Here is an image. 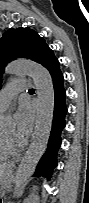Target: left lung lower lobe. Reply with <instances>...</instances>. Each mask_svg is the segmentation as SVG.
<instances>
[{"label": "left lung lower lobe", "instance_id": "obj_1", "mask_svg": "<svg viewBox=\"0 0 89 203\" xmlns=\"http://www.w3.org/2000/svg\"><path fill=\"white\" fill-rule=\"evenodd\" d=\"M39 63L47 68L51 74L55 104L48 148L39 161L34 176H42L50 179L52 177L53 169L57 166V152L61 146V132L65 127V115L67 113L65 103L66 92L63 85L64 78L60 71V63L48 46L43 51Z\"/></svg>", "mask_w": 89, "mask_h": 203}]
</instances>
